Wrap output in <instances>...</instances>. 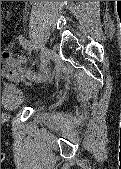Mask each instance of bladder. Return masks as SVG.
Instances as JSON below:
<instances>
[{
	"instance_id": "bladder-1",
	"label": "bladder",
	"mask_w": 121,
	"mask_h": 169,
	"mask_svg": "<svg viewBox=\"0 0 121 169\" xmlns=\"http://www.w3.org/2000/svg\"><path fill=\"white\" fill-rule=\"evenodd\" d=\"M39 103V98L27 94L15 84L6 83L3 87L2 105L8 111H17L24 107H35Z\"/></svg>"
}]
</instances>
